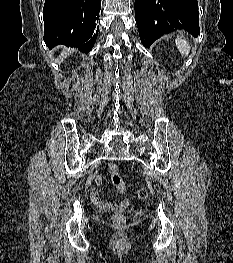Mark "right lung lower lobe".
<instances>
[{
	"label": "right lung lower lobe",
	"mask_w": 233,
	"mask_h": 263,
	"mask_svg": "<svg viewBox=\"0 0 233 263\" xmlns=\"http://www.w3.org/2000/svg\"><path fill=\"white\" fill-rule=\"evenodd\" d=\"M101 0H45L44 41L49 48L64 44L88 53L97 38Z\"/></svg>",
	"instance_id": "98d812e1"
}]
</instances>
